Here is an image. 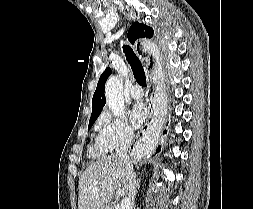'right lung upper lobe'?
Returning a JSON list of instances; mask_svg holds the SVG:
<instances>
[{"instance_id": "cb5924a9", "label": "right lung upper lobe", "mask_w": 253, "mask_h": 209, "mask_svg": "<svg viewBox=\"0 0 253 209\" xmlns=\"http://www.w3.org/2000/svg\"><path fill=\"white\" fill-rule=\"evenodd\" d=\"M144 37H153V29L149 26H146L142 23L135 22L131 25L128 31V40L131 44H134V42L138 38H144ZM111 75V69L106 68L105 71L102 73V75L99 78L97 88L95 90V93L93 95L92 99V114L90 117L91 119H97L100 111L104 107L106 101L104 96V86L107 78Z\"/></svg>"}]
</instances>
